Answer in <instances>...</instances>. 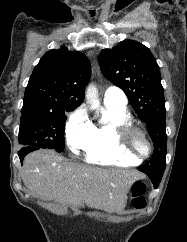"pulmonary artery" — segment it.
I'll list each match as a JSON object with an SVG mask.
<instances>
[{
  "label": "pulmonary artery",
  "instance_id": "1",
  "mask_svg": "<svg viewBox=\"0 0 187 242\" xmlns=\"http://www.w3.org/2000/svg\"><path fill=\"white\" fill-rule=\"evenodd\" d=\"M103 102L107 105L126 106L127 98L121 89L111 86L105 91Z\"/></svg>",
  "mask_w": 187,
  "mask_h": 242
}]
</instances>
